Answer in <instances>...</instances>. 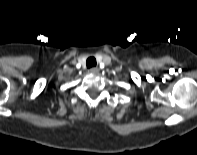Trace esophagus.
I'll return each instance as SVG.
<instances>
[{"instance_id":"34e87169","label":"esophagus","mask_w":197,"mask_h":155,"mask_svg":"<svg viewBox=\"0 0 197 155\" xmlns=\"http://www.w3.org/2000/svg\"><path fill=\"white\" fill-rule=\"evenodd\" d=\"M90 72H92V73H97V72H98V69H97V68H91V69H90Z\"/></svg>"}]
</instances>
